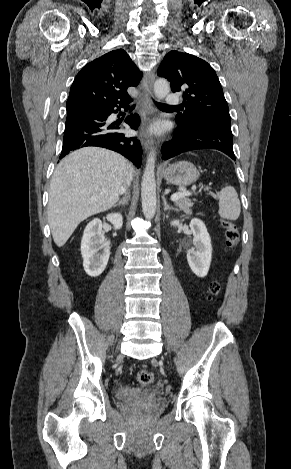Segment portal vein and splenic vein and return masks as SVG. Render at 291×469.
<instances>
[{
  "label": "portal vein and splenic vein",
  "instance_id": "portal-vein-and-splenic-vein-1",
  "mask_svg": "<svg viewBox=\"0 0 291 469\" xmlns=\"http://www.w3.org/2000/svg\"><path fill=\"white\" fill-rule=\"evenodd\" d=\"M190 194H191V192H189V191L175 193L171 196V201L175 202L179 199L190 196Z\"/></svg>",
  "mask_w": 291,
  "mask_h": 469
}]
</instances>
